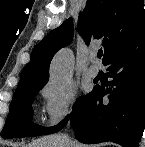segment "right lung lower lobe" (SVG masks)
Wrapping results in <instances>:
<instances>
[{
  "instance_id": "98d812e1",
  "label": "right lung lower lobe",
  "mask_w": 145,
  "mask_h": 147,
  "mask_svg": "<svg viewBox=\"0 0 145 147\" xmlns=\"http://www.w3.org/2000/svg\"><path fill=\"white\" fill-rule=\"evenodd\" d=\"M103 64L113 80L109 88L95 86L70 118L75 136L85 144L112 141L122 147H139L145 125V27Z\"/></svg>"
}]
</instances>
